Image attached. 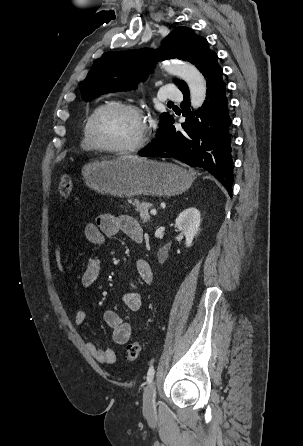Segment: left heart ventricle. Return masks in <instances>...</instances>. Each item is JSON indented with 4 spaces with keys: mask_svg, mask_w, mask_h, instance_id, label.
<instances>
[{
    "mask_svg": "<svg viewBox=\"0 0 303 446\" xmlns=\"http://www.w3.org/2000/svg\"><path fill=\"white\" fill-rule=\"evenodd\" d=\"M142 128L143 123L135 114L122 110H108L97 118L94 132L100 143L120 147L135 142Z\"/></svg>",
    "mask_w": 303,
    "mask_h": 446,
    "instance_id": "left-heart-ventricle-1",
    "label": "left heart ventricle"
}]
</instances>
